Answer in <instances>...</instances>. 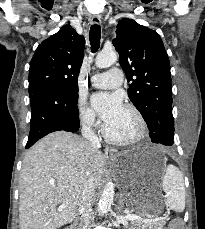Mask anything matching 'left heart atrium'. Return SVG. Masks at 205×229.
<instances>
[{"label": "left heart atrium", "instance_id": "1", "mask_svg": "<svg viewBox=\"0 0 205 229\" xmlns=\"http://www.w3.org/2000/svg\"><path fill=\"white\" fill-rule=\"evenodd\" d=\"M91 103L106 125L113 122L124 109L122 97L117 93L94 94Z\"/></svg>", "mask_w": 205, "mask_h": 229}]
</instances>
